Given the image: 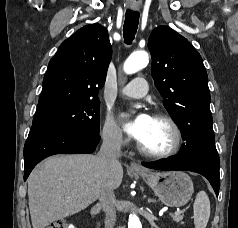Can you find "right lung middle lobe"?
<instances>
[{"label": "right lung middle lobe", "mask_w": 238, "mask_h": 228, "mask_svg": "<svg viewBox=\"0 0 238 228\" xmlns=\"http://www.w3.org/2000/svg\"><path fill=\"white\" fill-rule=\"evenodd\" d=\"M100 101H84L34 117L32 127H70L99 133Z\"/></svg>", "instance_id": "1"}]
</instances>
